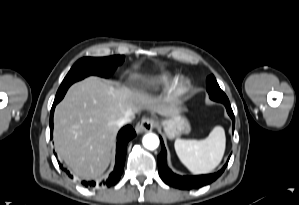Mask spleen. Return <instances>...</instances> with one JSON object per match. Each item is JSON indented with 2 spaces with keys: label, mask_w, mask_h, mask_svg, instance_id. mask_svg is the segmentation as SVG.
<instances>
[{
  "label": "spleen",
  "mask_w": 299,
  "mask_h": 205,
  "mask_svg": "<svg viewBox=\"0 0 299 205\" xmlns=\"http://www.w3.org/2000/svg\"><path fill=\"white\" fill-rule=\"evenodd\" d=\"M226 146L225 131L216 126L204 140L176 139L174 147L180 161L195 174H206L221 162Z\"/></svg>",
  "instance_id": "3e777b00"
}]
</instances>
